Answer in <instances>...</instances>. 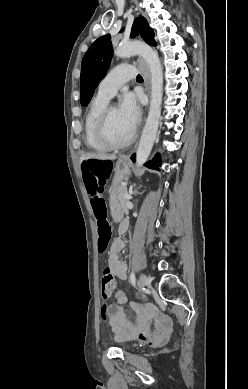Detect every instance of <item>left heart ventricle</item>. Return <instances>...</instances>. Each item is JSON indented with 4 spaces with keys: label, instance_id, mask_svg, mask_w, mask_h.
<instances>
[{
    "label": "left heart ventricle",
    "instance_id": "1",
    "mask_svg": "<svg viewBox=\"0 0 248 389\" xmlns=\"http://www.w3.org/2000/svg\"><path fill=\"white\" fill-rule=\"evenodd\" d=\"M132 130L120 114L118 107H113L109 117L110 136L116 141H123L131 134Z\"/></svg>",
    "mask_w": 248,
    "mask_h": 389
}]
</instances>
